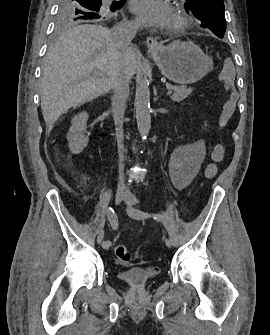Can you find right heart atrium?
<instances>
[{
    "instance_id": "1",
    "label": "right heart atrium",
    "mask_w": 270,
    "mask_h": 335,
    "mask_svg": "<svg viewBox=\"0 0 270 335\" xmlns=\"http://www.w3.org/2000/svg\"><path fill=\"white\" fill-rule=\"evenodd\" d=\"M120 25H136L135 21H124L123 23H121Z\"/></svg>"
}]
</instances>
